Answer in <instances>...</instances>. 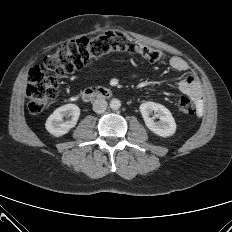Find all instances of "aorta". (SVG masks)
<instances>
[{"label":"aorta","mask_w":232,"mask_h":232,"mask_svg":"<svg viewBox=\"0 0 232 232\" xmlns=\"http://www.w3.org/2000/svg\"><path fill=\"white\" fill-rule=\"evenodd\" d=\"M110 108L113 109V110H118L120 107H121V102L119 99L117 98H113L110 103Z\"/></svg>","instance_id":"aorta-1"}]
</instances>
